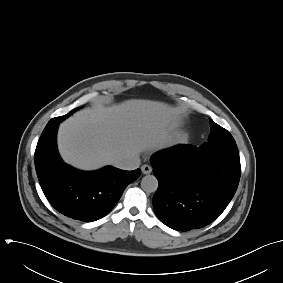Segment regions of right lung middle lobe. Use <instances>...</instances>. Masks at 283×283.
Wrapping results in <instances>:
<instances>
[{
  "instance_id": "right-lung-middle-lobe-1",
  "label": "right lung middle lobe",
  "mask_w": 283,
  "mask_h": 283,
  "mask_svg": "<svg viewBox=\"0 0 283 283\" xmlns=\"http://www.w3.org/2000/svg\"><path fill=\"white\" fill-rule=\"evenodd\" d=\"M76 110H78V108L70 111L68 114L64 115V116H60V117H56V118H53L51 119L48 124L54 122V121H63L64 119H66L67 117H69L71 114H73Z\"/></svg>"
}]
</instances>
